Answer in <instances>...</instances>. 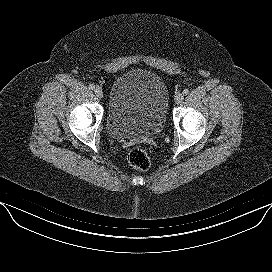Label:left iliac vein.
I'll return each instance as SVG.
<instances>
[{"label":"left iliac vein","mask_w":272,"mask_h":272,"mask_svg":"<svg viewBox=\"0 0 272 272\" xmlns=\"http://www.w3.org/2000/svg\"><path fill=\"white\" fill-rule=\"evenodd\" d=\"M184 99V95L181 93L176 94L174 101L176 104H180Z\"/></svg>","instance_id":"left-iliac-vein-1"}]
</instances>
